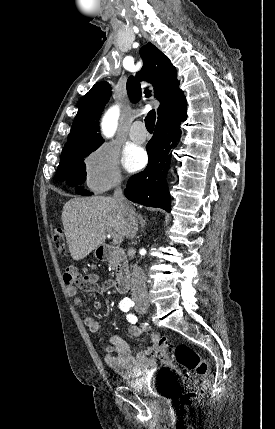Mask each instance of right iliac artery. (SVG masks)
I'll return each mask as SVG.
<instances>
[{
	"instance_id": "82829eb1",
	"label": "right iliac artery",
	"mask_w": 275,
	"mask_h": 429,
	"mask_svg": "<svg viewBox=\"0 0 275 429\" xmlns=\"http://www.w3.org/2000/svg\"><path fill=\"white\" fill-rule=\"evenodd\" d=\"M129 308H130V305L128 303L120 304V309L124 312H128Z\"/></svg>"
}]
</instances>
